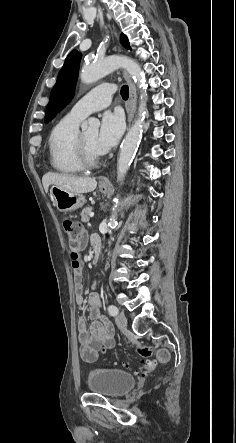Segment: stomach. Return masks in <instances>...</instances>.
Listing matches in <instances>:
<instances>
[{"mask_svg":"<svg viewBox=\"0 0 236 443\" xmlns=\"http://www.w3.org/2000/svg\"><path fill=\"white\" fill-rule=\"evenodd\" d=\"M101 192L107 193L108 189L100 187ZM50 195L54 205L61 212H72L81 208L85 203V197L82 194L72 193L56 185L50 189Z\"/></svg>","mask_w":236,"mask_h":443,"instance_id":"stomach-1","label":"stomach"}]
</instances>
